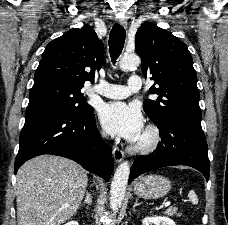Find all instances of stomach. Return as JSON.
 I'll return each mask as SVG.
<instances>
[{
    "label": "stomach",
    "mask_w": 228,
    "mask_h": 225,
    "mask_svg": "<svg viewBox=\"0 0 228 225\" xmlns=\"http://www.w3.org/2000/svg\"><path fill=\"white\" fill-rule=\"evenodd\" d=\"M172 185L161 175H146L140 177L134 185V193L140 199H161L171 191Z\"/></svg>",
    "instance_id": "1"
}]
</instances>
